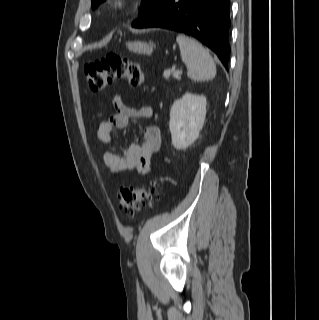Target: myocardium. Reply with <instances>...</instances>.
<instances>
[{
    "label": "myocardium",
    "instance_id": "myocardium-1",
    "mask_svg": "<svg viewBox=\"0 0 319 320\" xmlns=\"http://www.w3.org/2000/svg\"><path fill=\"white\" fill-rule=\"evenodd\" d=\"M135 3V0H111L108 3V8L115 14H122L130 10Z\"/></svg>",
    "mask_w": 319,
    "mask_h": 320
}]
</instances>
